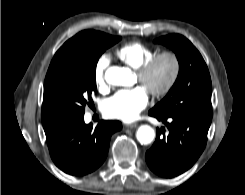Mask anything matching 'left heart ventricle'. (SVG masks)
<instances>
[{
    "label": "left heart ventricle",
    "mask_w": 245,
    "mask_h": 195,
    "mask_svg": "<svg viewBox=\"0 0 245 195\" xmlns=\"http://www.w3.org/2000/svg\"><path fill=\"white\" fill-rule=\"evenodd\" d=\"M170 71H171V65L169 60L167 59L160 60L151 71L146 82V87L159 88L163 86L170 75Z\"/></svg>",
    "instance_id": "b2bd125f"
}]
</instances>
